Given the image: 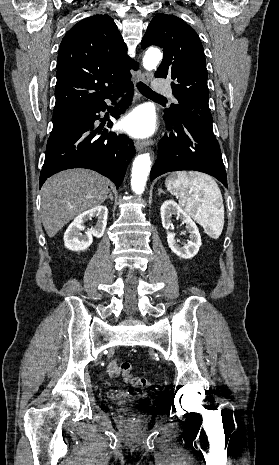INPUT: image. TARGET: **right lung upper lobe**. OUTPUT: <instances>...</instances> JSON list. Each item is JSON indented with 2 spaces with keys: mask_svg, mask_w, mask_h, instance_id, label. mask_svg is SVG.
Segmentation results:
<instances>
[{
  "mask_svg": "<svg viewBox=\"0 0 279 465\" xmlns=\"http://www.w3.org/2000/svg\"><path fill=\"white\" fill-rule=\"evenodd\" d=\"M138 63L108 15H94L63 38L57 61L53 126L74 120L82 110L130 82Z\"/></svg>",
  "mask_w": 279,
  "mask_h": 465,
  "instance_id": "obj_1",
  "label": "right lung upper lobe"
}]
</instances>
